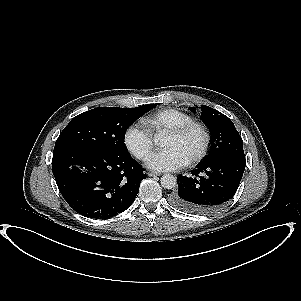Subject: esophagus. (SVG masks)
Returning a JSON list of instances; mask_svg holds the SVG:
<instances>
[{
	"label": "esophagus",
	"mask_w": 301,
	"mask_h": 301,
	"mask_svg": "<svg viewBox=\"0 0 301 301\" xmlns=\"http://www.w3.org/2000/svg\"><path fill=\"white\" fill-rule=\"evenodd\" d=\"M147 175L149 176V177H152V176H160L161 174L160 173H157V172H148L147 173Z\"/></svg>",
	"instance_id": "34e87169"
}]
</instances>
